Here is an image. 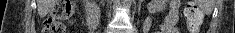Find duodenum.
<instances>
[{"label":"duodenum","instance_id":"410a0bca","mask_svg":"<svg viewBox=\"0 0 235 33\" xmlns=\"http://www.w3.org/2000/svg\"><path fill=\"white\" fill-rule=\"evenodd\" d=\"M87 23L92 29L98 25V8L93 4H89L87 9Z\"/></svg>","mask_w":235,"mask_h":33}]
</instances>
